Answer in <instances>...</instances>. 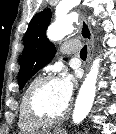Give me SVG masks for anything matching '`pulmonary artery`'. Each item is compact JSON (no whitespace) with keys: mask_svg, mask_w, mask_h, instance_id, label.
<instances>
[{"mask_svg":"<svg viewBox=\"0 0 116 134\" xmlns=\"http://www.w3.org/2000/svg\"><path fill=\"white\" fill-rule=\"evenodd\" d=\"M80 50V42L78 40H71L65 43L61 47V51L64 54H73L77 53Z\"/></svg>","mask_w":116,"mask_h":134,"instance_id":"e3ab8cb5","label":"pulmonary artery"}]
</instances>
